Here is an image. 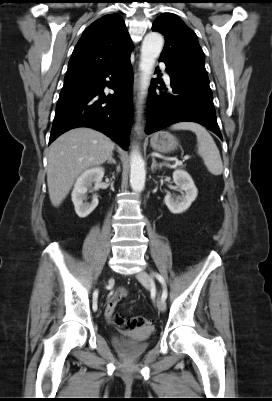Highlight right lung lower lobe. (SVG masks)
Returning a JSON list of instances; mask_svg holds the SVG:
<instances>
[{
    "mask_svg": "<svg viewBox=\"0 0 272 401\" xmlns=\"http://www.w3.org/2000/svg\"><path fill=\"white\" fill-rule=\"evenodd\" d=\"M105 86L115 93L105 95ZM132 93L130 55L96 77L63 88L49 144L70 129L90 127L103 132L126 150L133 115Z\"/></svg>",
    "mask_w": 272,
    "mask_h": 401,
    "instance_id": "1",
    "label": "right lung lower lobe"
}]
</instances>
